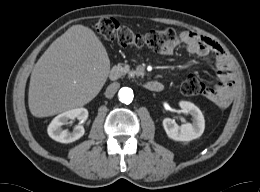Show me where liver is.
Masks as SVG:
<instances>
[{"label":"liver","mask_w":260,"mask_h":192,"mask_svg":"<svg viewBox=\"0 0 260 192\" xmlns=\"http://www.w3.org/2000/svg\"><path fill=\"white\" fill-rule=\"evenodd\" d=\"M110 72L105 47L93 30L74 25L58 37L35 64L28 105L35 117H48L94 99Z\"/></svg>","instance_id":"obj_1"}]
</instances>
